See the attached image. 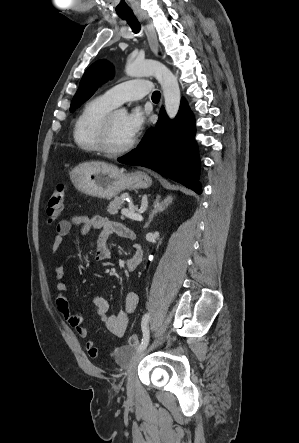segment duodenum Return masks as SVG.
I'll list each match as a JSON object with an SVG mask.
<instances>
[{
    "mask_svg": "<svg viewBox=\"0 0 299 443\" xmlns=\"http://www.w3.org/2000/svg\"><path fill=\"white\" fill-rule=\"evenodd\" d=\"M131 237L134 238V237H135V234L133 233V234L131 235Z\"/></svg>",
    "mask_w": 299,
    "mask_h": 443,
    "instance_id": "1",
    "label": "duodenum"
}]
</instances>
